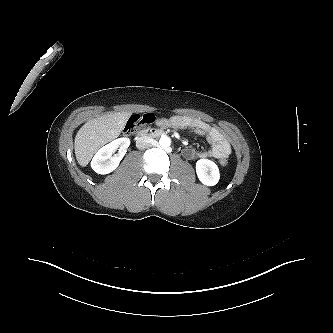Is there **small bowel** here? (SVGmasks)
Returning <instances> with one entry per match:
<instances>
[{"instance_id": "1", "label": "small bowel", "mask_w": 333, "mask_h": 333, "mask_svg": "<svg viewBox=\"0 0 333 333\" xmlns=\"http://www.w3.org/2000/svg\"><path fill=\"white\" fill-rule=\"evenodd\" d=\"M156 126L173 129L191 130L200 136H204L210 144L205 151L187 147L183 150V156L190 160L205 158H221L228 156L231 152V145L226 136L216 127L200 119L174 115L170 118H161L155 121Z\"/></svg>"}]
</instances>
